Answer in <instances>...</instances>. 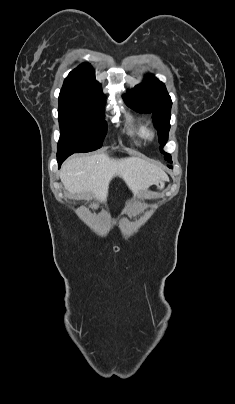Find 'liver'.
Here are the masks:
<instances>
[{
    "mask_svg": "<svg viewBox=\"0 0 235 404\" xmlns=\"http://www.w3.org/2000/svg\"><path fill=\"white\" fill-rule=\"evenodd\" d=\"M120 177L134 196L146 192L158 181H167V174L158 166L138 157L112 158L107 153L74 157L67 160L60 179L66 190L79 198L92 195L105 202L111 180Z\"/></svg>",
    "mask_w": 235,
    "mask_h": 404,
    "instance_id": "6515ba94",
    "label": "liver"
}]
</instances>
